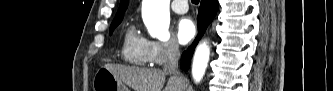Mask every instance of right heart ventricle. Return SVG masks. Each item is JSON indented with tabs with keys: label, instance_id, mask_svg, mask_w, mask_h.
Wrapping results in <instances>:
<instances>
[{
	"label": "right heart ventricle",
	"instance_id": "right-heart-ventricle-1",
	"mask_svg": "<svg viewBox=\"0 0 333 91\" xmlns=\"http://www.w3.org/2000/svg\"><path fill=\"white\" fill-rule=\"evenodd\" d=\"M122 56L130 64L146 66L150 64L147 54V40L141 37L133 25L128 26L122 40Z\"/></svg>",
	"mask_w": 333,
	"mask_h": 91
}]
</instances>
